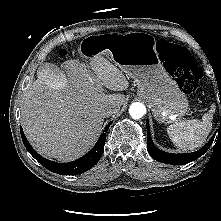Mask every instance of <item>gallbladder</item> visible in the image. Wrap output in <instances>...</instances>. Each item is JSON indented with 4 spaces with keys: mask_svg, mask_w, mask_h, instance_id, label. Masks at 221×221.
<instances>
[{
    "mask_svg": "<svg viewBox=\"0 0 221 221\" xmlns=\"http://www.w3.org/2000/svg\"><path fill=\"white\" fill-rule=\"evenodd\" d=\"M50 68H52L53 69V66L52 65H48ZM58 74V73H57Z\"/></svg>",
    "mask_w": 221,
    "mask_h": 221,
    "instance_id": "bac80fb5",
    "label": "gallbladder"
}]
</instances>
